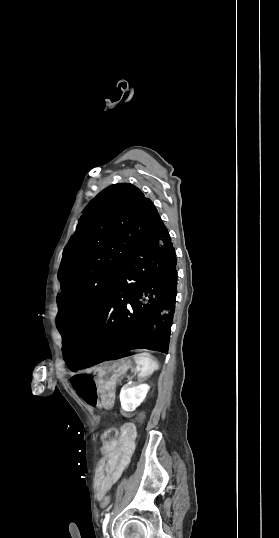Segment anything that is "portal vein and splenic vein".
<instances>
[{
  "label": "portal vein and splenic vein",
  "instance_id": "portal-vein-and-splenic-vein-1",
  "mask_svg": "<svg viewBox=\"0 0 279 538\" xmlns=\"http://www.w3.org/2000/svg\"><path fill=\"white\" fill-rule=\"evenodd\" d=\"M131 379V380H130ZM128 383H131V381H134V376L127 377Z\"/></svg>",
  "mask_w": 279,
  "mask_h": 538
}]
</instances>
